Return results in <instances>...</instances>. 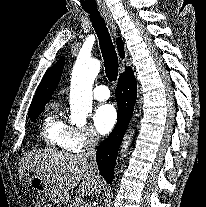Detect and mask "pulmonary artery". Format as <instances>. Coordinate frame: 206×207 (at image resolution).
Returning <instances> with one entry per match:
<instances>
[{
    "mask_svg": "<svg viewBox=\"0 0 206 207\" xmlns=\"http://www.w3.org/2000/svg\"><path fill=\"white\" fill-rule=\"evenodd\" d=\"M93 96L99 101H104L110 97V91L107 86L98 85L93 90Z\"/></svg>",
    "mask_w": 206,
    "mask_h": 207,
    "instance_id": "obj_1",
    "label": "pulmonary artery"
}]
</instances>
